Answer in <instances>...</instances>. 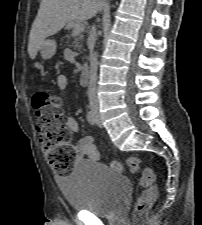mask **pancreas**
Here are the masks:
<instances>
[{
    "instance_id": "cf45deb5",
    "label": "pancreas",
    "mask_w": 202,
    "mask_h": 225,
    "mask_svg": "<svg viewBox=\"0 0 202 225\" xmlns=\"http://www.w3.org/2000/svg\"><path fill=\"white\" fill-rule=\"evenodd\" d=\"M69 40L66 42V44L67 45H69V42H70V36L69 35H67L66 36ZM81 40H82V37L80 36V37H77V38H75V40L72 42V44L71 45H69L70 47H73V49H77V50H80V48H81V45H80V42H81Z\"/></svg>"
}]
</instances>
